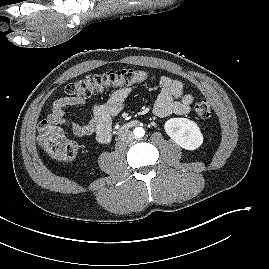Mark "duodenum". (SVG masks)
I'll return each instance as SVG.
<instances>
[{"mask_svg": "<svg viewBox=\"0 0 269 269\" xmlns=\"http://www.w3.org/2000/svg\"><path fill=\"white\" fill-rule=\"evenodd\" d=\"M138 123L139 122L137 120L128 121L121 127V130L124 131V130H127L129 128L135 127L138 125Z\"/></svg>", "mask_w": 269, "mask_h": 269, "instance_id": "obj_1", "label": "duodenum"}]
</instances>
